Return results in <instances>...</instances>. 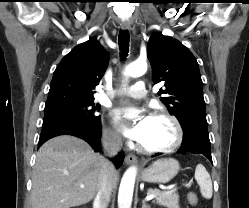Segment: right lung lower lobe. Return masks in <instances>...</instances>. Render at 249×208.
<instances>
[{"instance_id": "obj_1", "label": "right lung lower lobe", "mask_w": 249, "mask_h": 208, "mask_svg": "<svg viewBox=\"0 0 249 208\" xmlns=\"http://www.w3.org/2000/svg\"><path fill=\"white\" fill-rule=\"evenodd\" d=\"M100 119L94 123L81 121L75 118L60 117L55 115L44 116L42 131L38 142V148L47 140L59 135H73L88 142L93 149L99 150ZM124 159V154L119 153L114 164L119 168Z\"/></svg>"}]
</instances>
